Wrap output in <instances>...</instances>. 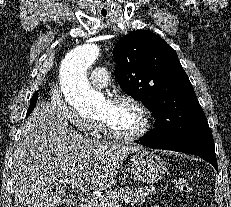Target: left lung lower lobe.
Segmentation results:
<instances>
[{
	"instance_id": "0a47b994",
	"label": "left lung lower lobe",
	"mask_w": 231,
	"mask_h": 207,
	"mask_svg": "<svg viewBox=\"0 0 231 207\" xmlns=\"http://www.w3.org/2000/svg\"><path fill=\"white\" fill-rule=\"evenodd\" d=\"M140 144L151 148L172 150L197 155L210 162L218 171L214 140L212 135L195 136L179 142L163 145L148 141L146 138H141Z\"/></svg>"
}]
</instances>
